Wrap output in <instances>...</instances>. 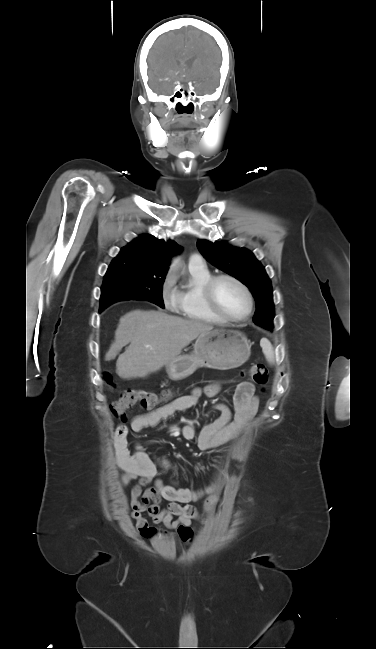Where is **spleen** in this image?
Returning a JSON list of instances; mask_svg holds the SVG:
<instances>
[{
    "instance_id": "3e777b00",
    "label": "spleen",
    "mask_w": 376,
    "mask_h": 649,
    "mask_svg": "<svg viewBox=\"0 0 376 649\" xmlns=\"http://www.w3.org/2000/svg\"><path fill=\"white\" fill-rule=\"evenodd\" d=\"M260 346L267 361L272 363L274 361V350L269 340L266 338L261 339Z\"/></svg>"
}]
</instances>
